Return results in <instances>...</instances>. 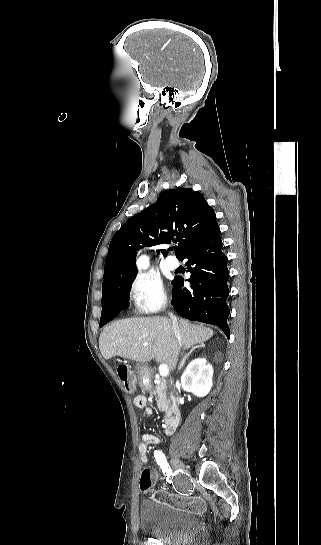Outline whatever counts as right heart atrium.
<instances>
[{
    "label": "right heart atrium",
    "instance_id": "1",
    "mask_svg": "<svg viewBox=\"0 0 321 545\" xmlns=\"http://www.w3.org/2000/svg\"><path fill=\"white\" fill-rule=\"evenodd\" d=\"M128 299L136 313L154 314L168 305L162 281L153 272L135 274L128 286Z\"/></svg>",
    "mask_w": 321,
    "mask_h": 545
}]
</instances>
